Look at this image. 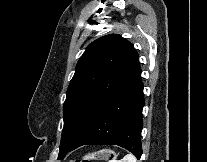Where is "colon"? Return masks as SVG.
I'll use <instances>...</instances> for the list:
<instances>
[{"instance_id": "5ec220e1", "label": "colon", "mask_w": 207, "mask_h": 162, "mask_svg": "<svg viewBox=\"0 0 207 162\" xmlns=\"http://www.w3.org/2000/svg\"><path fill=\"white\" fill-rule=\"evenodd\" d=\"M69 162H92V161H89V160H75V161H69Z\"/></svg>"}]
</instances>
